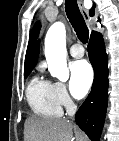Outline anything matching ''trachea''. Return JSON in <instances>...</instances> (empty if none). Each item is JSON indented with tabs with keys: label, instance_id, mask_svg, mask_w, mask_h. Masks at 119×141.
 Returning a JSON list of instances; mask_svg holds the SVG:
<instances>
[{
	"label": "trachea",
	"instance_id": "obj_1",
	"mask_svg": "<svg viewBox=\"0 0 119 141\" xmlns=\"http://www.w3.org/2000/svg\"><path fill=\"white\" fill-rule=\"evenodd\" d=\"M66 15L73 26L77 37L83 43H87L89 37V31L84 21V18L79 10L76 0L65 1Z\"/></svg>",
	"mask_w": 119,
	"mask_h": 141
}]
</instances>
